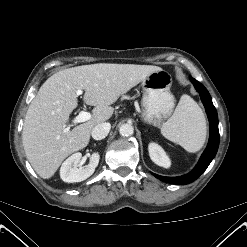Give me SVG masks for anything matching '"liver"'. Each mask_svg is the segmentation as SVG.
Wrapping results in <instances>:
<instances>
[{
  "label": "liver",
  "instance_id": "liver-1",
  "mask_svg": "<svg viewBox=\"0 0 247 247\" xmlns=\"http://www.w3.org/2000/svg\"><path fill=\"white\" fill-rule=\"evenodd\" d=\"M159 70L152 65L98 63L49 77L27 110L22 132L24 150L35 172L43 179L51 178L66 157L88 145L92 129L112 117L111 105ZM77 90L85 91L83 100L94 109L90 120L65 131L78 105Z\"/></svg>",
  "mask_w": 247,
  "mask_h": 247
}]
</instances>
